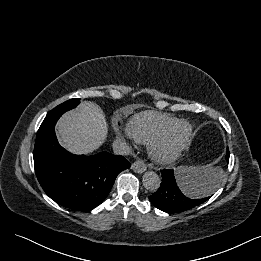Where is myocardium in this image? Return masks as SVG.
<instances>
[{"label": "myocardium", "mask_w": 261, "mask_h": 261, "mask_svg": "<svg viewBox=\"0 0 261 261\" xmlns=\"http://www.w3.org/2000/svg\"><path fill=\"white\" fill-rule=\"evenodd\" d=\"M180 126H186L187 132L184 138L175 145L169 143L174 133ZM193 137V126L186 120H178L166 131L159 135L149 144V153L151 158L160 164H169L174 162L190 144Z\"/></svg>", "instance_id": "1"}]
</instances>
